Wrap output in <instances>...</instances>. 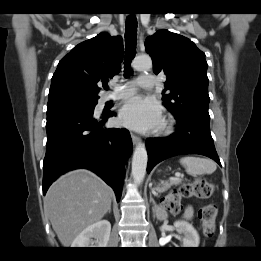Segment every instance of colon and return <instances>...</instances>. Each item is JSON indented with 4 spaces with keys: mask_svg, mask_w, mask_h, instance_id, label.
Returning a JSON list of instances; mask_svg holds the SVG:
<instances>
[{
    "mask_svg": "<svg viewBox=\"0 0 261 261\" xmlns=\"http://www.w3.org/2000/svg\"><path fill=\"white\" fill-rule=\"evenodd\" d=\"M214 192V186L205 179H197L193 182L185 183L178 189L167 194L163 200V207L173 214H178L182 210L181 200L183 198L207 199ZM216 206L209 204L199 211V220L203 227L204 235L211 238L215 230Z\"/></svg>",
    "mask_w": 261,
    "mask_h": 261,
    "instance_id": "obj_1",
    "label": "colon"
}]
</instances>
